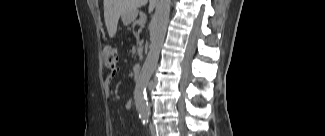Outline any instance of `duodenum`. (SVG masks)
Instances as JSON below:
<instances>
[{
    "instance_id": "410a0bca",
    "label": "duodenum",
    "mask_w": 325,
    "mask_h": 136,
    "mask_svg": "<svg viewBox=\"0 0 325 136\" xmlns=\"http://www.w3.org/2000/svg\"><path fill=\"white\" fill-rule=\"evenodd\" d=\"M142 65L141 63H136L133 67V75L138 76L141 72Z\"/></svg>"
}]
</instances>
